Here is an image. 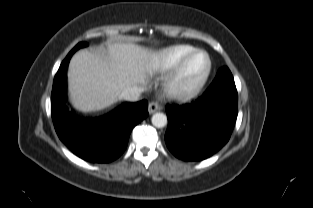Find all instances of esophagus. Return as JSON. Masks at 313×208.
<instances>
[{"instance_id":"obj_1","label":"esophagus","mask_w":313,"mask_h":208,"mask_svg":"<svg viewBox=\"0 0 313 208\" xmlns=\"http://www.w3.org/2000/svg\"><path fill=\"white\" fill-rule=\"evenodd\" d=\"M160 109H161V107H160L159 104L156 103V102H151V103H149V105H148V112H149L150 114L155 113L156 111H158V110H160Z\"/></svg>"}]
</instances>
